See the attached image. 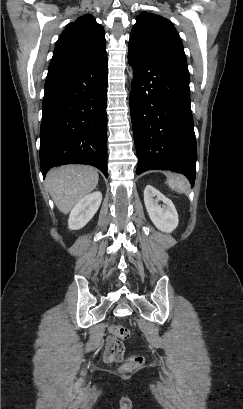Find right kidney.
I'll list each match as a JSON object with an SVG mask.
<instances>
[{
    "label": "right kidney",
    "instance_id": "obj_1",
    "mask_svg": "<svg viewBox=\"0 0 243 409\" xmlns=\"http://www.w3.org/2000/svg\"><path fill=\"white\" fill-rule=\"evenodd\" d=\"M102 201L100 191L93 192L82 198L71 210L68 219L70 230L83 228L95 215Z\"/></svg>",
    "mask_w": 243,
    "mask_h": 409
}]
</instances>
